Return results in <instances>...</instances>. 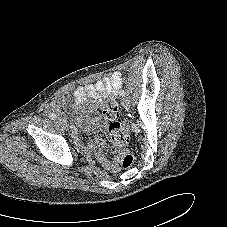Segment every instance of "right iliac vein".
Instances as JSON below:
<instances>
[{"mask_svg": "<svg viewBox=\"0 0 227 227\" xmlns=\"http://www.w3.org/2000/svg\"><path fill=\"white\" fill-rule=\"evenodd\" d=\"M56 121L65 129H68V123L63 118H57Z\"/></svg>", "mask_w": 227, "mask_h": 227, "instance_id": "right-iliac-vein-1", "label": "right iliac vein"}]
</instances>
